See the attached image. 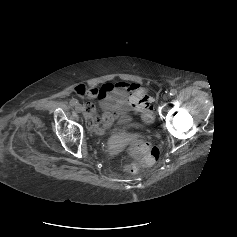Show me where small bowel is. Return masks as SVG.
I'll return each mask as SVG.
<instances>
[{
    "mask_svg": "<svg viewBox=\"0 0 237 237\" xmlns=\"http://www.w3.org/2000/svg\"><path fill=\"white\" fill-rule=\"evenodd\" d=\"M74 91L81 97L99 101L103 110L101 119H98L93 104L88 103L84 110L87 126L99 135L116 124L129 123L136 114H144L150 102L146 90L134 82L106 83L100 87L89 88L77 85Z\"/></svg>",
    "mask_w": 237,
    "mask_h": 237,
    "instance_id": "c3829d8e",
    "label": "small bowel"
}]
</instances>
